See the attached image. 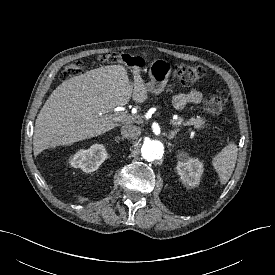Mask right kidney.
I'll use <instances>...</instances> for the list:
<instances>
[{
  "instance_id": "obj_1",
  "label": "right kidney",
  "mask_w": 275,
  "mask_h": 275,
  "mask_svg": "<svg viewBox=\"0 0 275 275\" xmlns=\"http://www.w3.org/2000/svg\"><path fill=\"white\" fill-rule=\"evenodd\" d=\"M107 152L103 145L95 144L87 150L78 151L70 160L74 168H80L86 173L96 171L99 166L106 160Z\"/></svg>"
}]
</instances>
